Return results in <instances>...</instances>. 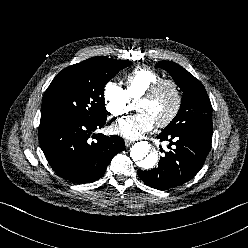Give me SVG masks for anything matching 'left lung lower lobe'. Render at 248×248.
Returning a JSON list of instances; mask_svg holds the SVG:
<instances>
[{
    "label": "left lung lower lobe",
    "instance_id": "0a47b994",
    "mask_svg": "<svg viewBox=\"0 0 248 248\" xmlns=\"http://www.w3.org/2000/svg\"><path fill=\"white\" fill-rule=\"evenodd\" d=\"M157 138L174 144V149L168 146L171 150L160 158L158 167L137 173L148 186L166 190L188 182L200 171L211 148L212 133L162 131Z\"/></svg>",
    "mask_w": 248,
    "mask_h": 248
}]
</instances>
